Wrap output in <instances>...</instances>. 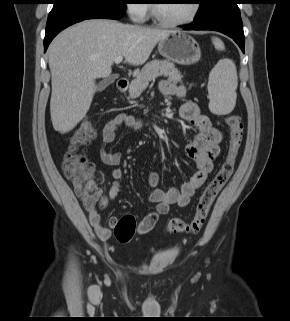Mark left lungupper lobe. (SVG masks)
I'll return each instance as SVG.
<instances>
[{"instance_id": "obj_1", "label": "left lung upper lobe", "mask_w": 290, "mask_h": 321, "mask_svg": "<svg viewBox=\"0 0 290 321\" xmlns=\"http://www.w3.org/2000/svg\"><path fill=\"white\" fill-rule=\"evenodd\" d=\"M200 7L196 14V18L203 17L219 6H221L226 0H198Z\"/></svg>"}]
</instances>
